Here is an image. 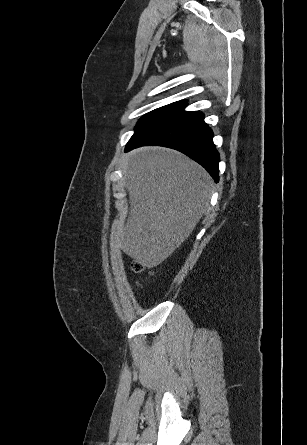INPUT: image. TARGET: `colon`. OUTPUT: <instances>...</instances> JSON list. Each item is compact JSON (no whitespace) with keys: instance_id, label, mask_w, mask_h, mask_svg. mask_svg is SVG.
I'll return each mask as SVG.
<instances>
[{"instance_id":"1","label":"colon","mask_w":307,"mask_h":445,"mask_svg":"<svg viewBox=\"0 0 307 445\" xmlns=\"http://www.w3.org/2000/svg\"><path fill=\"white\" fill-rule=\"evenodd\" d=\"M132 271L135 273H141L144 271V265L140 261H134L131 265Z\"/></svg>"}]
</instances>
